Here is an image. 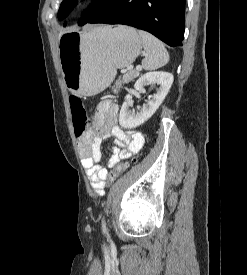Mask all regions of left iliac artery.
Segmentation results:
<instances>
[{"mask_svg":"<svg viewBox=\"0 0 247 275\" xmlns=\"http://www.w3.org/2000/svg\"><path fill=\"white\" fill-rule=\"evenodd\" d=\"M102 230H103V233H106V232H107L106 224H105L104 219H102Z\"/></svg>","mask_w":247,"mask_h":275,"instance_id":"obj_1","label":"left iliac artery"}]
</instances>
